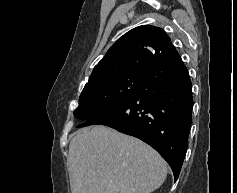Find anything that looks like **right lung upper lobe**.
Returning a JSON list of instances; mask_svg holds the SVG:
<instances>
[{"instance_id": "1", "label": "right lung upper lobe", "mask_w": 237, "mask_h": 193, "mask_svg": "<svg viewBox=\"0 0 237 193\" xmlns=\"http://www.w3.org/2000/svg\"><path fill=\"white\" fill-rule=\"evenodd\" d=\"M174 51L162 29L148 25L136 27L110 47L86 85L127 74H146L161 57Z\"/></svg>"}]
</instances>
